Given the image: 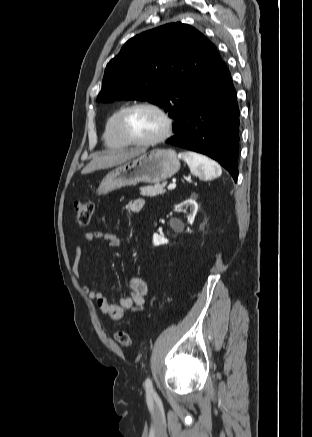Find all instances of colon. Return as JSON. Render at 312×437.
Here are the masks:
<instances>
[{
	"label": "colon",
	"instance_id": "colon-1",
	"mask_svg": "<svg viewBox=\"0 0 312 437\" xmlns=\"http://www.w3.org/2000/svg\"><path fill=\"white\" fill-rule=\"evenodd\" d=\"M73 209L76 221L80 225H87L94 212V204L92 202L75 201ZM115 339L123 347H130L133 344L130 334L123 330L115 332Z\"/></svg>",
	"mask_w": 312,
	"mask_h": 437
}]
</instances>
